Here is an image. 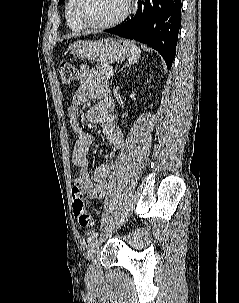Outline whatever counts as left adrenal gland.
Returning a JSON list of instances; mask_svg holds the SVG:
<instances>
[{
  "mask_svg": "<svg viewBox=\"0 0 239 303\" xmlns=\"http://www.w3.org/2000/svg\"><path fill=\"white\" fill-rule=\"evenodd\" d=\"M126 67H130V65H128V64L124 65V66L120 69V71H122L123 68H126Z\"/></svg>",
  "mask_w": 239,
  "mask_h": 303,
  "instance_id": "obj_1",
  "label": "left adrenal gland"
}]
</instances>
